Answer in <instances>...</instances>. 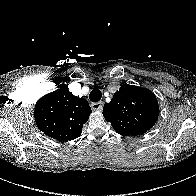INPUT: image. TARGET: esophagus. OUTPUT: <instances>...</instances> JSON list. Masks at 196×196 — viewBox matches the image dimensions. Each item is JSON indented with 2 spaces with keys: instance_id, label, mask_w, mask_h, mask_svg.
<instances>
[{
  "instance_id": "esophagus-1",
  "label": "esophagus",
  "mask_w": 196,
  "mask_h": 196,
  "mask_svg": "<svg viewBox=\"0 0 196 196\" xmlns=\"http://www.w3.org/2000/svg\"><path fill=\"white\" fill-rule=\"evenodd\" d=\"M91 107L94 111H101L103 108V102L99 101V102H95L91 104Z\"/></svg>"
}]
</instances>
